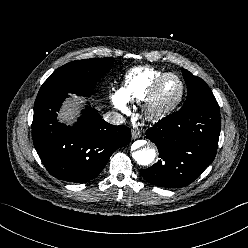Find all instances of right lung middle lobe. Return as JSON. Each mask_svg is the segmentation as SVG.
<instances>
[{"label": "right lung middle lobe", "mask_w": 248, "mask_h": 248, "mask_svg": "<svg viewBox=\"0 0 248 248\" xmlns=\"http://www.w3.org/2000/svg\"><path fill=\"white\" fill-rule=\"evenodd\" d=\"M113 63L114 58H91L65 64L43 83L38 96L57 92L91 95Z\"/></svg>", "instance_id": "1"}]
</instances>
